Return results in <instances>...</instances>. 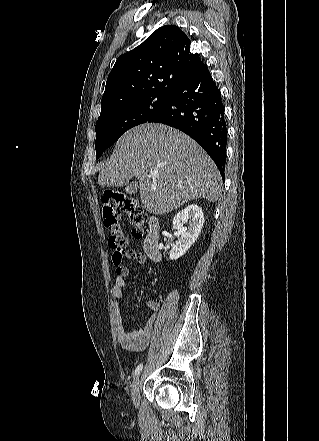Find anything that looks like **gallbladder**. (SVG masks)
<instances>
[{"instance_id":"obj_1","label":"gallbladder","mask_w":319,"mask_h":441,"mask_svg":"<svg viewBox=\"0 0 319 441\" xmlns=\"http://www.w3.org/2000/svg\"><path fill=\"white\" fill-rule=\"evenodd\" d=\"M138 190V183L137 182H132L130 184L127 185V187L125 188V191L127 194H135Z\"/></svg>"}]
</instances>
